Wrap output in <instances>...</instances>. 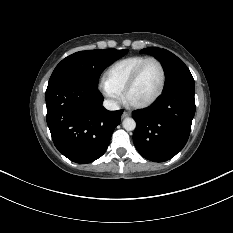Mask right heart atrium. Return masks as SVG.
I'll return each mask as SVG.
<instances>
[{
	"label": "right heart atrium",
	"mask_w": 233,
	"mask_h": 233,
	"mask_svg": "<svg viewBox=\"0 0 233 233\" xmlns=\"http://www.w3.org/2000/svg\"><path fill=\"white\" fill-rule=\"evenodd\" d=\"M99 88L111 105L116 106L122 101V92L111 86L105 80L100 82Z\"/></svg>",
	"instance_id": "obj_1"
}]
</instances>
